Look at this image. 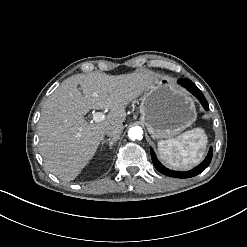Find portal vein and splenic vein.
I'll return each instance as SVG.
<instances>
[{
    "label": "portal vein and splenic vein",
    "mask_w": 247,
    "mask_h": 247,
    "mask_svg": "<svg viewBox=\"0 0 247 247\" xmlns=\"http://www.w3.org/2000/svg\"><path fill=\"white\" fill-rule=\"evenodd\" d=\"M105 119V114L102 112H96L93 114V121L98 123Z\"/></svg>",
    "instance_id": "18ae733b"
}]
</instances>
